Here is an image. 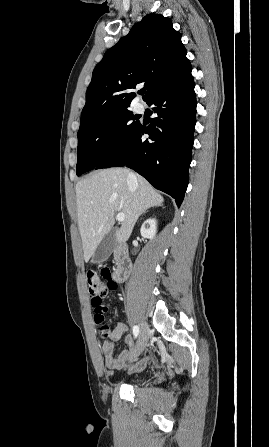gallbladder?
I'll use <instances>...</instances> for the list:
<instances>
[{"label": "gallbladder", "instance_id": "gallbladder-1", "mask_svg": "<svg viewBox=\"0 0 269 447\" xmlns=\"http://www.w3.org/2000/svg\"><path fill=\"white\" fill-rule=\"evenodd\" d=\"M116 231H118V227H113V229L103 237L101 243H99L94 251V255L91 259L92 263H101V261H105V259L111 255L116 245Z\"/></svg>", "mask_w": 269, "mask_h": 447}]
</instances>
